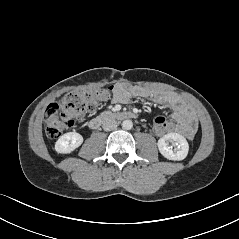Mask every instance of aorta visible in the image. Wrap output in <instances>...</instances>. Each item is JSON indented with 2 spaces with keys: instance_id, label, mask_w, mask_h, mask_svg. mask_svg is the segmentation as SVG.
Returning a JSON list of instances; mask_svg holds the SVG:
<instances>
[{
  "instance_id": "1",
  "label": "aorta",
  "mask_w": 239,
  "mask_h": 239,
  "mask_svg": "<svg viewBox=\"0 0 239 239\" xmlns=\"http://www.w3.org/2000/svg\"><path fill=\"white\" fill-rule=\"evenodd\" d=\"M132 127H133V123H132L131 120H124V121L122 122V128H123V129H125V130H130V129H132Z\"/></svg>"
}]
</instances>
